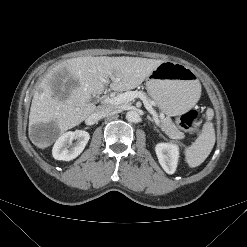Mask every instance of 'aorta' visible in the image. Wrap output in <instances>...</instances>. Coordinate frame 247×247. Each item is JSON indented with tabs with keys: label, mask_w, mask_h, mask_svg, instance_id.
<instances>
[{
	"label": "aorta",
	"mask_w": 247,
	"mask_h": 247,
	"mask_svg": "<svg viewBox=\"0 0 247 247\" xmlns=\"http://www.w3.org/2000/svg\"><path fill=\"white\" fill-rule=\"evenodd\" d=\"M139 118V113L136 110H130L126 113V119L128 122L136 123Z\"/></svg>",
	"instance_id": "1"
}]
</instances>
